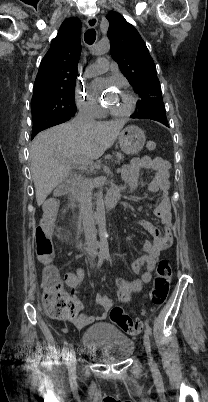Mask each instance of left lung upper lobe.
<instances>
[{"label":"left lung upper lobe","mask_w":208,"mask_h":402,"mask_svg":"<svg viewBox=\"0 0 208 402\" xmlns=\"http://www.w3.org/2000/svg\"><path fill=\"white\" fill-rule=\"evenodd\" d=\"M106 18L109 21L111 56L141 97L133 118L151 119L167 124L161 86L146 44L135 27L117 12H109Z\"/></svg>","instance_id":"obj_1"}]
</instances>
